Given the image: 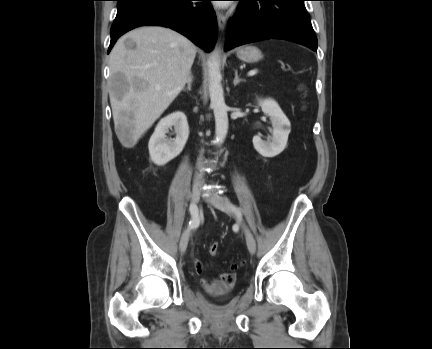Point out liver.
Instances as JSON below:
<instances>
[{
  "instance_id": "liver-1",
  "label": "liver",
  "mask_w": 432,
  "mask_h": 349,
  "mask_svg": "<svg viewBox=\"0 0 432 349\" xmlns=\"http://www.w3.org/2000/svg\"><path fill=\"white\" fill-rule=\"evenodd\" d=\"M136 47L129 49L125 41ZM197 52L186 37L164 27L129 31L109 58V97L115 133L134 147L185 86Z\"/></svg>"
}]
</instances>
